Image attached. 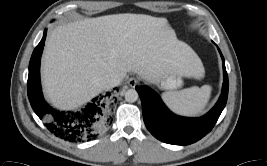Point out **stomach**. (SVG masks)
Instances as JSON below:
<instances>
[{
  "instance_id": "stomach-1",
  "label": "stomach",
  "mask_w": 267,
  "mask_h": 166,
  "mask_svg": "<svg viewBox=\"0 0 267 166\" xmlns=\"http://www.w3.org/2000/svg\"><path fill=\"white\" fill-rule=\"evenodd\" d=\"M161 88L167 90L177 89L182 86V76L176 73H164L155 78Z\"/></svg>"
}]
</instances>
